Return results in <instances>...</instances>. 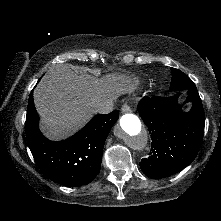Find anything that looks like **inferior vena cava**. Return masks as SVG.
Listing matches in <instances>:
<instances>
[{
  "instance_id": "obj_1",
  "label": "inferior vena cava",
  "mask_w": 221,
  "mask_h": 221,
  "mask_svg": "<svg viewBox=\"0 0 221 221\" xmlns=\"http://www.w3.org/2000/svg\"><path fill=\"white\" fill-rule=\"evenodd\" d=\"M114 107H115L114 100L104 102L97 108V113H101V114L110 113L114 109Z\"/></svg>"
}]
</instances>
